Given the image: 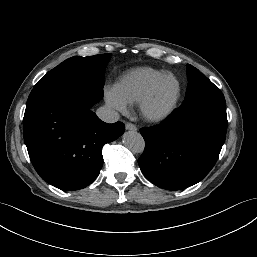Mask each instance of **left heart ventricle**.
<instances>
[{
	"mask_svg": "<svg viewBox=\"0 0 257 257\" xmlns=\"http://www.w3.org/2000/svg\"><path fill=\"white\" fill-rule=\"evenodd\" d=\"M178 90L175 78L167 77L157 89V92L149 105V111L153 114L163 112L174 100Z\"/></svg>",
	"mask_w": 257,
	"mask_h": 257,
	"instance_id": "obj_1",
	"label": "left heart ventricle"
}]
</instances>
